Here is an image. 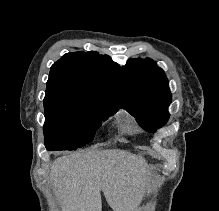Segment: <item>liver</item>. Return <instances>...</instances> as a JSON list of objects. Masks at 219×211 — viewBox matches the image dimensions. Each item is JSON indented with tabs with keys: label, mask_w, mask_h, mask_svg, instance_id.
<instances>
[{
	"label": "liver",
	"mask_w": 219,
	"mask_h": 211,
	"mask_svg": "<svg viewBox=\"0 0 219 211\" xmlns=\"http://www.w3.org/2000/svg\"><path fill=\"white\" fill-rule=\"evenodd\" d=\"M145 161L125 149L70 153L49 175L64 211H102L101 189L114 211H134L143 199Z\"/></svg>",
	"instance_id": "obj_1"
}]
</instances>
